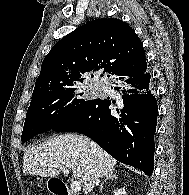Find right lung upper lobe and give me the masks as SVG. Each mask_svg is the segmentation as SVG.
Returning a JSON list of instances; mask_svg holds the SVG:
<instances>
[{"label": "right lung upper lobe", "instance_id": "right-lung-upper-lobe-1", "mask_svg": "<svg viewBox=\"0 0 189 195\" xmlns=\"http://www.w3.org/2000/svg\"><path fill=\"white\" fill-rule=\"evenodd\" d=\"M145 66L142 42L127 23L97 19L63 37L45 56L31 102L77 86L86 72L104 69L116 78L123 70L140 71Z\"/></svg>", "mask_w": 189, "mask_h": 195}]
</instances>
